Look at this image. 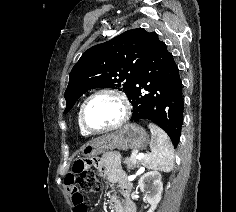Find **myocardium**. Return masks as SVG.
Returning a JSON list of instances; mask_svg holds the SVG:
<instances>
[{
	"label": "myocardium",
	"instance_id": "f54148a6",
	"mask_svg": "<svg viewBox=\"0 0 236 212\" xmlns=\"http://www.w3.org/2000/svg\"><path fill=\"white\" fill-rule=\"evenodd\" d=\"M101 95H110L114 98H116L122 107V114L121 117L119 118V120L117 122H115L114 124L101 128V129H92L90 128L86 122H85V117H84V113H85V109L86 106L88 105V103L94 99L95 97L101 96ZM131 114V104L128 100V98L119 90L114 89V88H101L98 89L96 91H94L93 93H91L82 103L80 110H79V123L81 125V127L85 130V132L87 134H102V133H107V132H111V131H115L119 128H121L129 119Z\"/></svg>",
	"mask_w": 236,
	"mask_h": 212
}]
</instances>
